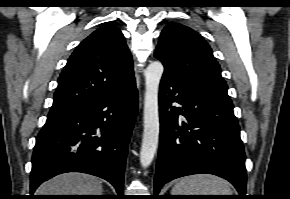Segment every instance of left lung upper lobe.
I'll return each instance as SVG.
<instances>
[{
  "instance_id": "1",
  "label": "left lung upper lobe",
  "mask_w": 290,
  "mask_h": 199,
  "mask_svg": "<svg viewBox=\"0 0 290 199\" xmlns=\"http://www.w3.org/2000/svg\"><path fill=\"white\" fill-rule=\"evenodd\" d=\"M155 57L164 73L221 95L228 96L221 68L208 43L193 29L170 23L162 31Z\"/></svg>"
}]
</instances>
